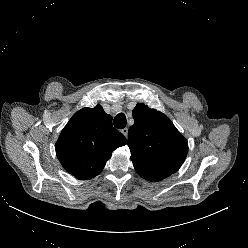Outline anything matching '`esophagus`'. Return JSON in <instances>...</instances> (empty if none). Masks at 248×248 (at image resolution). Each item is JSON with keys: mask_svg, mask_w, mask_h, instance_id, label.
I'll return each instance as SVG.
<instances>
[{"mask_svg": "<svg viewBox=\"0 0 248 248\" xmlns=\"http://www.w3.org/2000/svg\"><path fill=\"white\" fill-rule=\"evenodd\" d=\"M121 132L123 133V135H124L125 137H127V135H128V128H123V129L121 130Z\"/></svg>", "mask_w": 248, "mask_h": 248, "instance_id": "esophagus-1", "label": "esophagus"}]
</instances>
